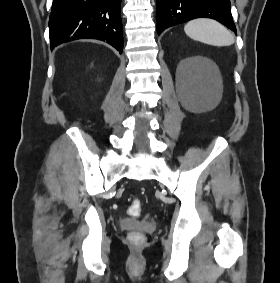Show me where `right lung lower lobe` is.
I'll return each instance as SVG.
<instances>
[{
	"mask_svg": "<svg viewBox=\"0 0 280 283\" xmlns=\"http://www.w3.org/2000/svg\"><path fill=\"white\" fill-rule=\"evenodd\" d=\"M121 0H53L49 17L51 49L77 39L106 41L122 53Z\"/></svg>",
	"mask_w": 280,
	"mask_h": 283,
	"instance_id": "obj_1",
	"label": "right lung lower lobe"
}]
</instances>
